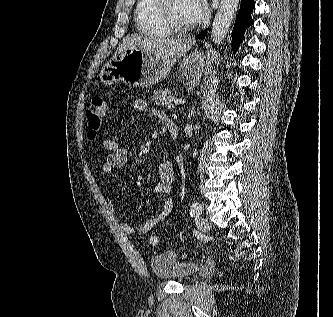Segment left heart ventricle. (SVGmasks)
<instances>
[{"mask_svg": "<svg viewBox=\"0 0 333 317\" xmlns=\"http://www.w3.org/2000/svg\"><path fill=\"white\" fill-rule=\"evenodd\" d=\"M172 18L181 27L194 25L191 16L189 0H174L172 3Z\"/></svg>", "mask_w": 333, "mask_h": 317, "instance_id": "b2bd125f", "label": "left heart ventricle"}]
</instances>
